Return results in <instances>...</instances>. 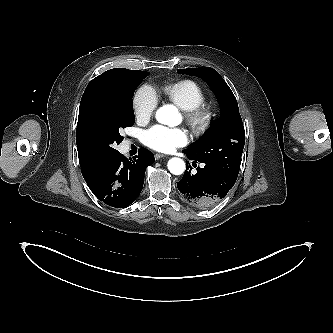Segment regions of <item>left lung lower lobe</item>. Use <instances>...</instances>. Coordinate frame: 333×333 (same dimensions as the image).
I'll list each match as a JSON object with an SVG mask.
<instances>
[{
  "mask_svg": "<svg viewBox=\"0 0 333 333\" xmlns=\"http://www.w3.org/2000/svg\"><path fill=\"white\" fill-rule=\"evenodd\" d=\"M183 153L190 160H194L193 165L201 162L193 158L186 150H183ZM204 164L203 168L197 167L196 174H191L192 168L189 164L182 179L177 182V187L187 204L199 209H210L227 195L234 186L235 180L209 164Z\"/></svg>",
  "mask_w": 333,
  "mask_h": 333,
  "instance_id": "obj_1",
  "label": "left lung lower lobe"
}]
</instances>
